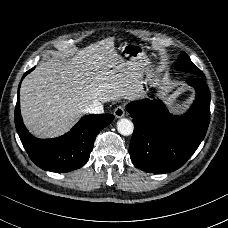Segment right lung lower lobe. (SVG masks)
<instances>
[{"instance_id":"obj_1","label":"right lung lower lobe","mask_w":228,"mask_h":228,"mask_svg":"<svg viewBox=\"0 0 228 228\" xmlns=\"http://www.w3.org/2000/svg\"><path fill=\"white\" fill-rule=\"evenodd\" d=\"M34 68L24 74L22 79ZM19 89L15 107V126L21 142L31 160L40 168L65 173L84 166L90 157L97 134L109 125L112 114L84 116L65 135L54 139L33 137L22 122L19 103Z\"/></svg>"}]
</instances>
